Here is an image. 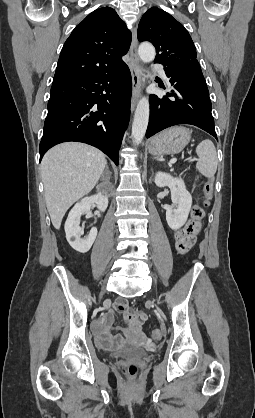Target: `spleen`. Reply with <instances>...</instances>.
Wrapping results in <instances>:
<instances>
[{
  "label": "spleen",
  "mask_w": 255,
  "mask_h": 418,
  "mask_svg": "<svg viewBox=\"0 0 255 418\" xmlns=\"http://www.w3.org/2000/svg\"><path fill=\"white\" fill-rule=\"evenodd\" d=\"M198 171L207 178H212L217 170L218 159L215 146L209 139L203 140L196 147Z\"/></svg>",
  "instance_id": "obj_1"
}]
</instances>
